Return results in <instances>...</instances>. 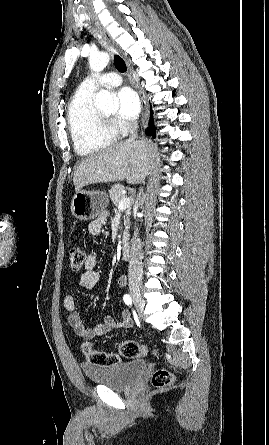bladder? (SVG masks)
I'll list each match as a JSON object with an SVG mask.
<instances>
[{
  "mask_svg": "<svg viewBox=\"0 0 269 445\" xmlns=\"http://www.w3.org/2000/svg\"><path fill=\"white\" fill-rule=\"evenodd\" d=\"M81 368L90 382L113 390H125L140 381L147 363L143 359H135L109 367L82 364Z\"/></svg>",
  "mask_w": 269,
  "mask_h": 445,
  "instance_id": "bladder-1",
  "label": "bladder"
}]
</instances>
